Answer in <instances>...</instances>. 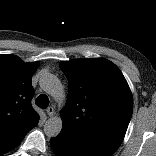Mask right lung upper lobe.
<instances>
[{"mask_svg": "<svg viewBox=\"0 0 156 156\" xmlns=\"http://www.w3.org/2000/svg\"><path fill=\"white\" fill-rule=\"evenodd\" d=\"M38 66L14 55H0V155L19 145L38 124L39 116L31 106V79Z\"/></svg>", "mask_w": 156, "mask_h": 156, "instance_id": "cb5924a9", "label": "right lung upper lobe"}]
</instances>
